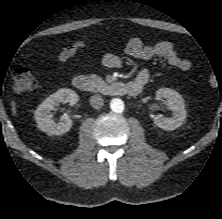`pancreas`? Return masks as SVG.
Listing matches in <instances>:
<instances>
[{"label":"pancreas","instance_id":"obj_1","mask_svg":"<svg viewBox=\"0 0 222 219\" xmlns=\"http://www.w3.org/2000/svg\"><path fill=\"white\" fill-rule=\"evenodd\" d=\"M89 78H90V90L93 92H99L106 86V82L100 76L91 74L89 75Z\"/></svg>","mask_w":222,"mask_h":219}]
</instances>
